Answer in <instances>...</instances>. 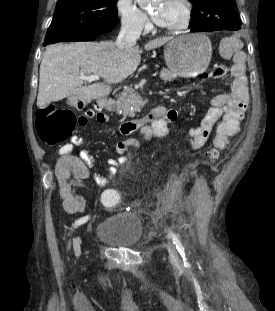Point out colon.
Wrapping results in <instances>:
<instances>
[{
	"label": "colon",
	"instance_id": "colon-1",
	"mask_svg": "<svg viewBox=\"0 0 275 311\" xmlns=\"http://www.w3.org/2000/svg\"><path fill=\"white\" fill-rule=\"evenodd\" d=\"M226 68L222 65L217 66L214 71L216 77L226 75ZM81 97L75 96L73 103H78ZM88 118L85 114L76 115L71 109L56 108L54 105H48L36 113V132L39 139L48 145H58L70 138L76 125L83 126ZM240 118H220L218 129L223 131L216 139L215 148L209 152V159L214 161L219 155V151L225 148L228 137L231 135L229 130H242ZM65 152L70 148L67 146ZM102 203L106 207H115L118 205L120 197L118 190H102Z\"/></svg>",
	"mask_w": 275,
	"mask_h": 311
}]
</instances>
